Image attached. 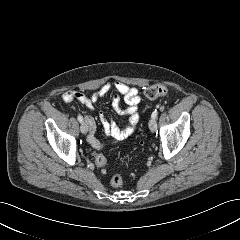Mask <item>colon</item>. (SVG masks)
Here are the masks:
<instances>
[{
	"mask_svg": "<svg viewBox=\"0 0 240 240\" xmlns=\"http://www.w3.org/2000/svg\"><path fill=\"white\" fill-rule=\"evenodd\" d=\"M168 93V88L165 85L162 84H157V85H152L149 86L145 89L144 91V96L147 99H156L162 96H165ZM96 165L101 168L105 169L107 165L106 158L103 155H97L96 156ZM123 184V177L119 174L114 175L111 178V185L115 188H118L122 186Z\"/></svg>",
	"mask_w": 240,
	"mask_h": 240,
	"instance_id": "1",
	"label": "colon"
}]
</instances>
